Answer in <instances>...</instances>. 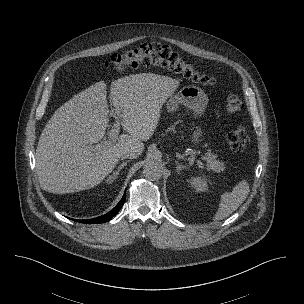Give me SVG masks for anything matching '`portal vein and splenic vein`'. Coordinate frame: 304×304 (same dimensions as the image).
Instances as JSON below:
<instances>
[{"label":"portal vein and splenic vein","mask_w":304,"mask_h":304,"mask_svg":"<svg viewBox=\"0 0 304 304\" xmlns=\"http://www.w3.org/2000/svg\"><path fill=\"white\" fill-rule=\"evenodd\" d=\"M114 118H115V122L114 125L112 126V129L108 133V140L102 142L101 144H97L94 147L95 149H100L103 146L110 145L117 140V137L120 133V125H121V118L118 112H115ZM197 162L200 163V160H197Z\"/></svg>","instance_id":"1"}]
</instances>
